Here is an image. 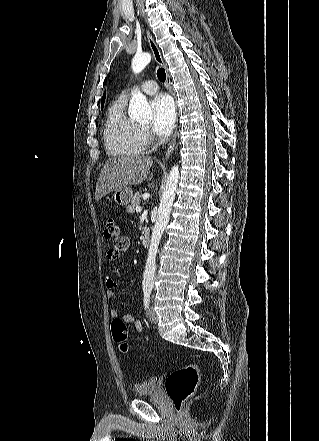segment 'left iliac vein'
<instances>
[{"mask_svg":"<svg viewBox=\"0 0 319 441\" xmlns=\"http://www.w3.org/2000/svg\"><path fill=\"white\" fill-rule=\"evenodd\" d=\"M148 316H149V320L152 323H157L159 318L158 315L156 314L155 310L153 309V307L149 308V312H148Z\"/></svg>","mask_w":319,"mask_h":441,"instance_id":"4c4485c4","label":"left iliac vein"}]
</instances>
